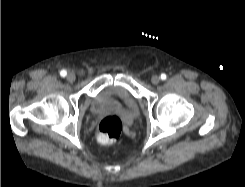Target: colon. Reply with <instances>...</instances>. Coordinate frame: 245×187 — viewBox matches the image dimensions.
Wrapping results in <instances>:
<instances>
[{
    "mask_svg": "<svg viewBox=\"0 0 245 187\" xmlns=\"http://www.w3.org/2000/svg\"><path fill=\"white\" fill-rule=\"evenodd\" d=\"M122 122L115 116H104L96 125V139L102 145H110L114 143L121 135Z\"/></svg>",
    "mask_w": 245,
    "mask_h": 187,
    "instance_id": "colon-1",
    "label": "colon"
}]
</instances>
